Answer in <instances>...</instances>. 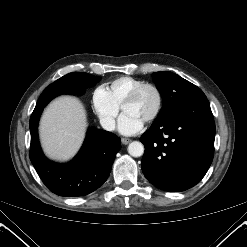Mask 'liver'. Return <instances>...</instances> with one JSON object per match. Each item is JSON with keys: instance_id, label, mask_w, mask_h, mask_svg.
<instances>
[{"instance_id": "6515ba94", "label": "liver", "mask_w": 247, "mask_h": 247, "mask_svg": "<svg viewBox=\"0 0 247 247\" xmlns=\"http://www.w3.org/2000/svg\"><path fill=\"white\" fill-rule=\"evenodd\" d=\"M87 127L82 103L70 96L52 101L40 121V138L45 153L52 159L66 161L80 148Z\"/></svg>"}]
</instances>
